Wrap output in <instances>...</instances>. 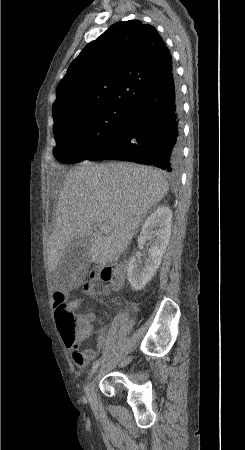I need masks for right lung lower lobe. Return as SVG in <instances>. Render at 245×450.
Instances as JSON below:
<instances>
[{
	"label": "right lung lower lobe",
	"instance_id": "98d812e1",
	"mask_svg": "<svg viewBox=\"0 0 245 450\" xmlns=\"http://www.w3.org/2000/svg\"><path fill=\"white\" fill-rule=\"evenodd\" d=\"M181 102L173 70L130 107L118 139L88 160H128L176 175L182 163Z\"/></svg>",
	"mask_w": 245,
	"mask_h": 450
}]
</instances>
